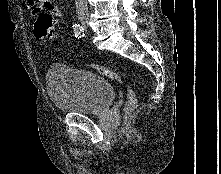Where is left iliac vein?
<instances>
[{"instance_id": "4c4485c4", "label": "left iliac vein", "mask_w": 221, "mask_h": 174, "mask_svg": "<svg viewBox=\"0 0 221 174\" xmlns=\"http://www.w3.org/2000/svg\"><path fill=\"white\" fill-rule=\"evenodd\" d=\"M88 26V24L87 25H85L84 27L86 28Z\"/></svg>"}]
</instances>
